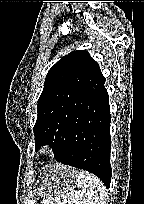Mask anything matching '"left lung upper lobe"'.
Instances as JSON below:
<instances>
[{"label":"left lung upper lobe","instance_id":"5c2ea615","mask_svg":"<svg viewBox=\"0 0 144 204\" xmlns=\"http://www.w3.org/2000/svg\"><path fill=\"white\" fill-rule=\"evenodd\" d=\"M99 72V65L85 50L73 51L51 67L37 104L36 150L64 140L86 100L87 86Z\"/></svg>","mask_w":144,"mask_h":204}]
</instances>
